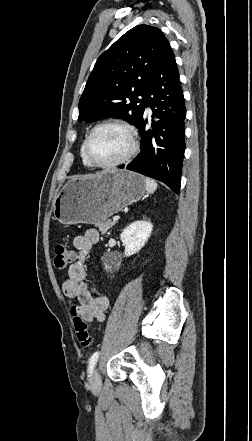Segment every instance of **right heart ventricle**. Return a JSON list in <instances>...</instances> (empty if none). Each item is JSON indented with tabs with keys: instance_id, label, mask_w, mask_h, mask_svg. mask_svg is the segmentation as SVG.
<instances>
[{
	"instance_id": "e07e8e85",
	"label": "right heart ventricle",
	"mask_w": 252,
	"mask_h": 441,
	"mask_svg": "<svg viewBox=\"0 0 252 441\" xmlns=\"http://www.w3.org/2000/svg\"><path fill=\"white\" fill-rule=\"evenodd\" d=\"M83 143H84V142H83ZM83 143H82V145H81V147H80V157H81V161H82V164H83L85 167L90 168V167H92V166L86 161V159H85V157H84V155H83Z\"/></svg>"
}]
</instances>
